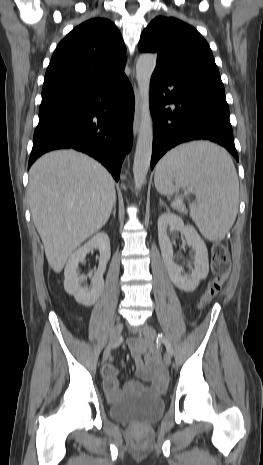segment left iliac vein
I'll list each match as a JSON object with an SVG mask.
<instances>
[{
  "label": "left iliac vein",
  "mask_w": 263,
  "mask_h": 465,
  "mask_svg": "<svg viewBox=\"0 0 263 465\" xmlns=\"http://www.w3.org/2000/svg\"><path fill=\"white\" fill-rule=\"evenodd\" d=\"M141 330L144 336L148 340H155L157 336L156 330L149 324L145 323L141 326ZM164 363L165 365L169 366L171 364V355L168 352L164 353Z\"/></svg>",
  "instance_id": "left-iliac-vein-1"
}]
</instances>
